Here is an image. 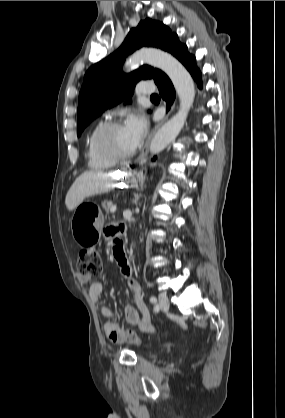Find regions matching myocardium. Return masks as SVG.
I'll list each match as a JSON object with an SVG mask.
<instances>
[{
	"label": "myocardium",
	"mask_w": 285,
	"mask_h": 418,
	"mask_svg": "<svg viewBox=\"0 0 285 418\" xmlns=\"http://www.w3.org/2000/svg\"><path fill=\"white\" fill-rule=\"evenodd\" d=\"M121 127H123L121 120H109L102 123L95 131L92 138V145L102 158L113 162H120L130 159L135 154L136 146L124 154L116 152L110 146L109 135Z\"/></svg>",
	"instance_id": "f54148a6"
}]
</instances>
